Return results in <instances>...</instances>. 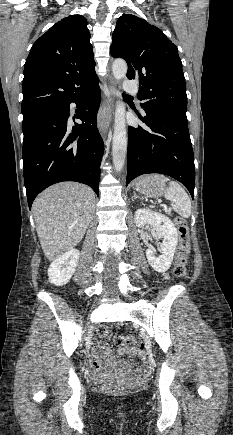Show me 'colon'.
Returning <instances> with one entry per match:
<instances>
[{"mask_svg": "<svg viewBox=\"0 0 233 435\" xmlns=\"http://www.w3.org/2000/svg\"><path fill=\"white\" fill-rule=\"evenodd\" d=\"M174 224L179 233V242L176 249L175 265L173 269V274L178 278H184L187 275L188 268V257L190 253V241L188 236V225L183 217L176 216L174 218ZM97 333L101 338H109L112 336V331L107 326H99ZM131 340L130 336L127 334L119 333L114 336L115 344L128 343ZM141 348V345H138ZM102 393L106 395L120 394L124 391V386L119 383L112 381H105L101 385Z\"/></svg>", "mask_w": 233, "mask_h": 435, "instance_id": "obj_1", "label": "colon"}]
</instances>
